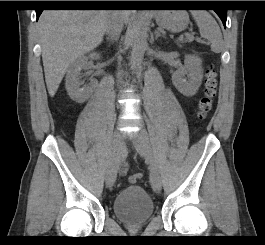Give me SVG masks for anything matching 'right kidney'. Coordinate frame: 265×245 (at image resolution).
<instances>
[{"label":"right kidney","instance_id":"ca27d5eb","mask_svg":"<svg viewBox=\"0 0 265 245\" xmlns=\"http://www.w3.org/2000/svg\"><path fill=\"white\" fill-rule=\"evenodd\" d=\"M98 53H91L88 56L77 58L68 68L66 74V90L70 98L78 103L85 102L92 94L91 86H82L83 82L80 79L81 71L89 66V59H99Z\"/></svg>","mask_w":265,"mask_h":245}]
</instances>
